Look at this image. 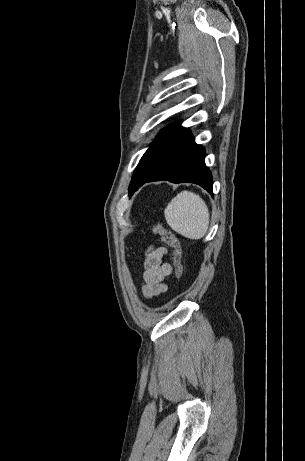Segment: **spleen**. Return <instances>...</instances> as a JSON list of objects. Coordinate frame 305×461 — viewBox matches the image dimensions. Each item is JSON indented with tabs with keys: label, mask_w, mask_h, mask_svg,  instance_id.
Wrapping results in <instances>:
<instances>
[{
	"label": "spleen",
	"mask_w": 305,
	"mask_h": 461,
	"mask_svg": "<svg viewBox=\"0 0 305 461\" xmlns=\"http://www.w3.org/2000/svg\"><path fill=\"white\" fill-rule=\"evenodd\" d=\"M167 224L182 236L198 240L205 236L209 226V210L197 194L182 191L164 211Z\"/></svg>",
	"instance_id": "obj_1"
}]
</instances>
